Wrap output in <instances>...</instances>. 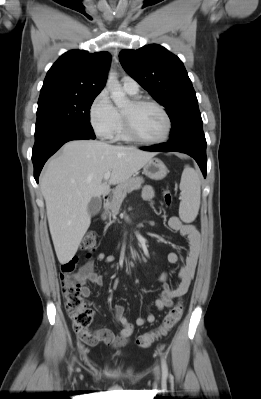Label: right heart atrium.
I'll use <instances>...</instances> for the list:
<instances>
[{
    "mask_svg": "<svg viewBox=\"0 0 261 399\" xmlns=\"http://www.w3.org/2000/svg\"><path fill=\"white\" fill-rule=\"evenodd\" d=\"M89 120L99 137L111 139L115 136L120 123V115L107 91L102 90L92 101L89 108Z\"/></svg>",
    "mask_w": 261,
    "mask_h": 399,
    "instance_id": "1",
    "label": "right heart atrium"
}]
</instances>
